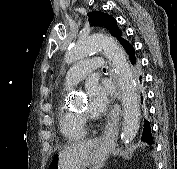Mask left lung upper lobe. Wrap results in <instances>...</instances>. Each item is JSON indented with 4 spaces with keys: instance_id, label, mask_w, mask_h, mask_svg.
<instances>
[{
    "instance_id": "left-lung-upper-lobe-1",
    "label": "left lung upper lobe",
    "mask_w": 177,
    "mask_h": 169,
    "mask_svg": "<svg viewBox=\"0 0 177 169\" xmlns=\"http://www.w3.org/2000/svg\"><path fill=\"white\" fill-rule=\"evenodd\" d=\"M88 16L92 25H102L107 28L111 35L116 37L122 46L128 43V41L124 39L122 31L119 29L117 21L112 16L100 11H93L89 13Z\"/></svg>"
}]
</instances>
